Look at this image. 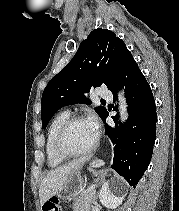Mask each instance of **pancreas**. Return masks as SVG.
<instances>
[{"label":"pancreas","instance_id":"cf45deb5","mask_svg":"<svg viewBox=\"0 0 179 211\" xmlns=\"http://www.w3.org/2000/svg\"><path fill=\"white\" fill-rule=\"evenodd\" d=\"M95 200L96 191L94 187L90 190H82L72 204L73 211H90V208Z\"/></svg>","mask_w":179,"mask_h":211}]
</instances>
